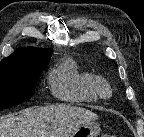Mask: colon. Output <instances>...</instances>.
<instances>
[{"mask_svg":"<svg viewBox=\"0 0 144 137\" xmlns=\"http://www.w3.org/2000/svg\"><path fill=\"white\" fill-rule=\"evenodd\" d=\"M105 137H114V136H111V135H105Z\"/></svg>","mask_w":144,"mask_h":137,"instance_id":"5ec220e1","label":"colon"}]
</instances>
